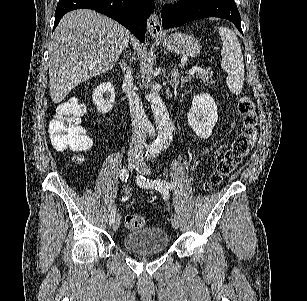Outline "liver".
Masks as SVG:
<instances>
[{
	"label": "liver",
	"mask_w": 307,
	"mask_h": 301,
	"mask_svg": "<svg viewBox=\"0 0 307 301\" xmlns=\"http://www.w3.org/2000/svg\"><path fill=\"white\" fill-rule=\"evenodd\" d=\"M130 32L109 16L90 8L62 16L49 44V92L61 102L80 82L111 70Z\"/></svg>",
	"instance_id": "liver-1"
}]
</instances>
